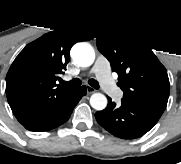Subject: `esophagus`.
<instances>
[{
    "label": "esophagus",
    "mask_w": 181,
    "mask_h": 164,
    "mask_svg": "<svg viewBox=\"0 0 181 164\" xmlns=\"http://www.w3.org/2000/svg\"><path fill=\"white\" fill-rule=\"evenodd\" d=\"M86 88H87V94H92L95 92V89L91 86H87Z\"/></svg>",
    "instance_id": "34e87169"
}]
</instances>
